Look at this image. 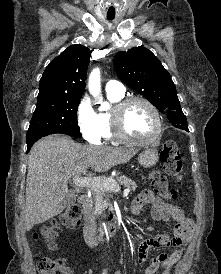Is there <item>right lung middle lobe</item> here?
Masks as SVG:
<instances>
[{"mask_svg": "<svg viewBox=\"0 0 221 274\" xmlns=\"http://www.w3.org/2000/svg\"><path fill=\"white\" fill-rule=\"evenodd\" d=\"M81 97L38 99L27 132V143L50 134L81 137L77 110Z\"/></svg>", "mask_w": 221, "mask_h": 274, "instance_id": "dd1d6c3e", "label": "right lung middle lobe"}]
</instances>
